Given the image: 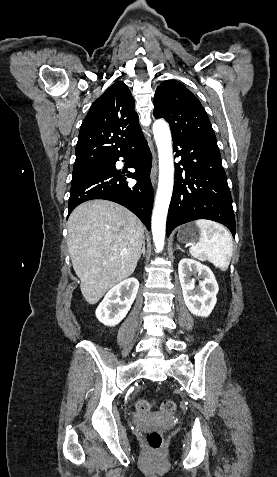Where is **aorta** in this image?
I'll return each mask as SVG.
<instances>
[{
  "mask_svg": "<svg viewBox=\"0 0 277 477\" xmlns=\"http://www.w3.org/2000/svg\"><path fill=\"white\" fill-rule=\"evenodd\" d=\"M153 134L159 156V183L152 215V235L157 251L164 246L167 212L173 191L174 163L170 128L164 120H156Z\"/></svg>",
  "mask_w": 277,
  "mask_h": 477,
  "instance_id": "aorta-1",
  "label": "aorta"
}]
</instances>
